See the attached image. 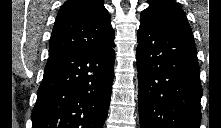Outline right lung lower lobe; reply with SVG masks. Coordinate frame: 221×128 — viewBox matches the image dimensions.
I'll use <instances>...</instances> for the list:
<instances>
[{
    "instance_id": "1",
    "label": "right lung lower lobe",
    "mask_w": 221,
    "mask_h": 128,
    "mask_svg": "<svg viewBox=\"0 0 221 128\" xmlns=\"http://www.w3.org/2000/svg\"><path fill=\"white\" fill-rule=\"evenodd\" d=\"M115 47L49 56L32 128H103L112 92Z\"/></svg>"
}]
</instances>
